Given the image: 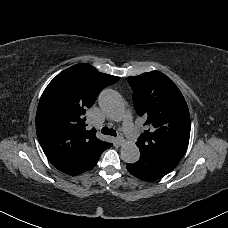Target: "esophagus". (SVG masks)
<instances>
[{
    "label": "esophagus",
    "instance_id": "34e87169",
    "mask_svg": "<svg viewBox=\"0 0 228 228\" xmlns=\"http://www.w3.org/2000/svg\"><path fill=\"white\" fill-rule=\"evenodd\" d=\"M117 139H118V144H119V145H122L123 142H124V138H123V136H122L121 133H118V134H117Z\"/></svg>",
    "mask_w": 228,
    "mask_h": 228
}]
</instances>
